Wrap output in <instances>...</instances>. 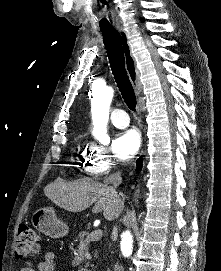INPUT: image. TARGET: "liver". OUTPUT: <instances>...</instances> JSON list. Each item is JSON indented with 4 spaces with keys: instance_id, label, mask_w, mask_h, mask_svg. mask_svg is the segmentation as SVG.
Here are the masks:
<instances>
[{
    "instance_id": "1",
    "label": "liver",
    "mask_w": 221,
    "mask_h": 271,
    "mask_svg": "<svg viewBox=\"0 0 221 271\" xmlns=\"http://www.w3.org/2000/svg\"><path fill=\"white\" fill-rule=\"evenodd\" d=\"M105 187V183L94 181L91 177H82V179H75L69 183L58 177L53 183L46 185L44 193L55 205H59L67 211H74V213L87 209L96 201L94 209H101L105 219L111 221L122 213L124 201L121 197H114V199L105 197Z\"/></svg>"
}]
</instances>
